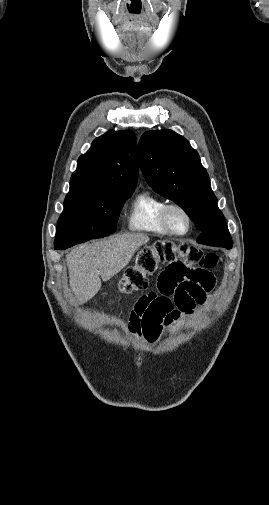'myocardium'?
Here are the masks:
<instances>
[{
    "label": "myocardium",
    "mask_w": 269,
    "mask_h": 505,
    "mask_svg": "<svg viewBox=\"0 0 269 505\" xmlns=\"http://www.w3.org/2000/svg\"><path fill=\"white\" fill-rule=\"evenodd\" d=\"M173 209H177L185 215L187 222H188V227H187L186 231L177 232L171 227V225L169 223L168 215H169V212ZM160 220H161V223L164 226V228L167 230V232L171 235H174V236H179V237L185 236L191 231V229L193 227V219H192L190 212L183 205H181L179 203L165 204L160 211Z\"/></svg>",
    "instance_id": "myocardium-1"
}]
</instances>
